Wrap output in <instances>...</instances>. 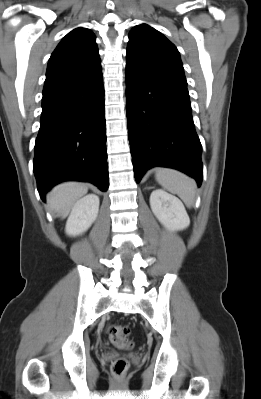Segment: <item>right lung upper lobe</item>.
<instances>
[{"label":"right lung upper lobe","mask_w":261,"mask_h":399,"mask_svg":"<svg viewBox=\"0 0 261 399\" xmlns=\"http://www.w3.org/2000/svg\"><path fill=\"white\" fill-rule=\"evenodd\" d=\"M100 74L101 61L94 33L86 28H76L62 39L49 59L43 95Z\"/></svg>","instance_id":"cb5924a9"}]
</instances>
